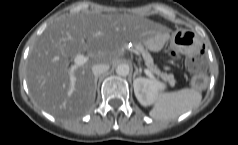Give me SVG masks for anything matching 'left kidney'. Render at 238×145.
I'll use <instances>...</instances> for the list:
<instances>
[{"label": "left kidney", "instance_id": "5707ae66", "mask_svg": "<svg viewBox=\"0 0 238 145\" xmlns=\"http://www.w3.org/2000/svg\"><path fill=\"white\" fill-rule=\"evenodd\" d=\"M133 87L137 100L143 106H150L158 91L166 88L164 83L144 77L134 79Z\"/></svg>", "mask_w": 238, "mask_h": 145}]
</instances>
